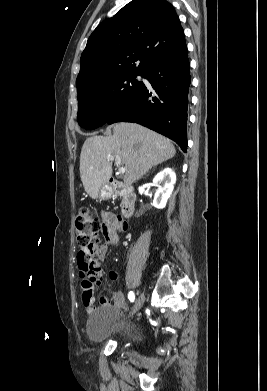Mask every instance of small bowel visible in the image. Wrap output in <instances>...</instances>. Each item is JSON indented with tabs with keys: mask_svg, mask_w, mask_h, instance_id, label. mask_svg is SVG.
I'll return each mask as SVG.
<instances>
[{
	"mask_svg": "<svg viewBox=\"0 0 267 391\" xmlns=\"http://www.w3.org/2000/svg\"><path fill=\"white\" fill-rule=\"evenodd\" d=\"M101 216L105 223L103 233L106 241L103 247L95 255L79 252L77 257L83 305L88 311H92L95 305V286L100 285L103 280L102 263L108 247L109 245H117L118 233L128 229V223L121 220L113 213L102 212ZM109 278L116 280L118 278V273L111 271L109 273ZM100 302L104 305H119L122 303V296L119 292H115L112 301L100 297Z\"/></svg>",
	"mask_w": 267,
	"mask_h": 391,
	"instance_id": "1",
	"label": "small bowel"
}]
</instances>
